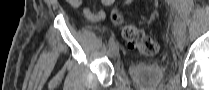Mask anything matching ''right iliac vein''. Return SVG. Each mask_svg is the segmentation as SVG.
Returning a JSON list of instances; mask_svg holds the SVG:
<instances>
[{
	"label": "right iliac vein",
	"instance_id": "obj_1",
	"mask_svg": "<svg viewBox=\"0 0 209 90\" xmlns=\"http://www.w3.org/2000/svg\"><path fill=\"white\" fill-rule=\"evenodd\" d=\"M118 52H119V47H118V44L115 43V44L112 45V47L109 49V56H110L111 58H115V57H117Z\"/></svg>",
	"mask_w": 209,
	"mask_h": 90
}]
</instances>
